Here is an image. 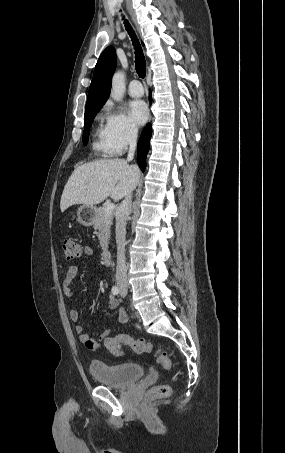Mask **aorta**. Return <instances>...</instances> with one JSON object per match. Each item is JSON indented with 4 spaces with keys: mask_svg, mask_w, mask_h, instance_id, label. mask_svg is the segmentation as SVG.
I'll list each match as a JSON object with an SVG mask.
<instances>
[{
    "mask_svg": "<svg viewBox=\"0 0 285 453\" xmlns=\"http://www.w3.org/2000/svg\"><path fill=\"white\" fill-rule=\"evenodd\" d=\"M125 92V75L122 71H118L112 78L111 97L115 101H120Z\"/></svg>",
    "mask_w": 285,
    "mask_h": 453,
    "instance_id": "aorta-1",
    "label": "aorta"
}]
</instances>
